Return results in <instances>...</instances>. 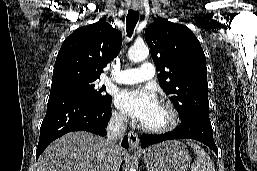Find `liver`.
Segmentation results:
<instances>
[{
  "instance_id": "liver-1",
  "label": "liver",
  "mask_w": 257,
  "mask_h": 171,
  "mask_svg": "<svg viewBox=\"0 0 257 171\" xmlns=\"http://www.w3.org/2000/svg\"><path fill=\"white\" fill-rule=\"evenodd\" d=\"M106 139L88 132H70L53 141L41 154L37 171H103ZM123 152L118 146L120 167Z\"/></svg>"
}]
</instances>
